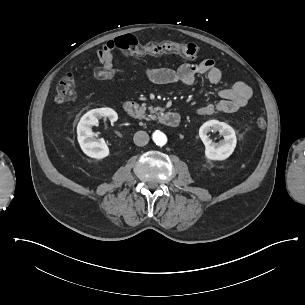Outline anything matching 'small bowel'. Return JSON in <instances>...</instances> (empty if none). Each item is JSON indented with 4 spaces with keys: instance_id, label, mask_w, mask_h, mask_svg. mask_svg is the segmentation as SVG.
<instances>
[{
    "instance_id": "1",
    "label": "small bowel",
    "mask_w": 305,
    "mask_h": 305,
    "mask_svg": "<svg viewBox=\"0 0 305 305\" xmlns=\"http://www.w3.org/2000/svg\"><path fill=\"white\" fill-rule=\"evenodd\" d=\"M114 41L109 39L95 53L101 55V60L108 68L113 66ZM147 79L158 85L181 83L187 86L194 84L199 76L205 75L207 79L218 84L222 81V71L214 60L207 58L195 64H183L176 69L148 68L145 71ZM220 100L214 103L199 106L195 113L199 116L211 115L216 112H234L246 106L252 96V90L243 81H234L229 87L219 91Z\"/></svg>"
}]
</instances>
